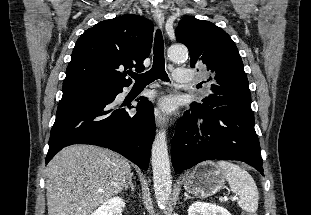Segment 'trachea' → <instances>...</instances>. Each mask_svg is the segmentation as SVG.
Instances as JSON below:
<instances>
[{"label":"trachea","instance_id":"1","mask_svg":"<svg viewBox=\"0 0 311 215\" xmlns=\"http://www.w3.org/2000/svg\"><path fill=\"white\" fill-rule=\"evenodd\" d=\"M153 54V65L149 71L142 74L130 73V76L135 80V84L148 85L157 79L169 81L165 71L164 41L160 29L156 30Z\"/></svg>","mask_w":311,"mask_h":215}]
</instances>
